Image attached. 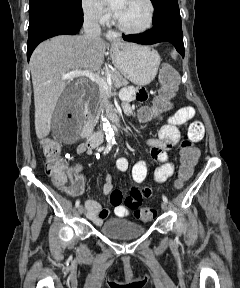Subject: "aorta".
Segmentation results:
<instances>
[{
    "label": "aorta",
    "instance_id": "aorta-1",
    "mask_svg": "<svg viewBox=\"0 0 240 288\" xmlns=\"http://www.w3.org/2000/svg\"><path fill=\"white\" fill-rule=\"evenodd\" d=\"M103 131L105 132L107 141H113L115 139V134L110 122L104 116H101Z\"/></svg>",
    "mask_w": 240,
    "mask_h": 288
}]
</instances>
